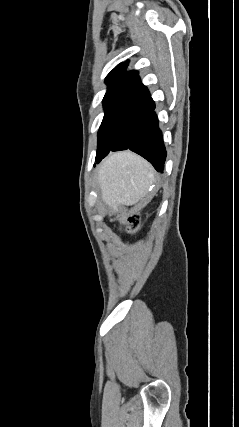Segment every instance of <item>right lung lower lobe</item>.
Instances as JSON below:
<instances>
[{
  "label": "right lung lower lobe",
  "instance_id": "1",
  "mask_svg": "<svg viewBox=\"0 0 239 427\" xmlns=\"http://www.w3.org/2000/svg\"><path fill=\"white\" fill-rule=\"evenodd\" d=\"M148 101L151 104L149 113L132 133L129 145L122 150L130 149L141 155L148 160L158 172H162L166 159V150L162 139V132L158 127V119L154 112L155 104L152 99ZM100 161H97V163Z\"/></svg>",
  "mask_w": 239,
  "mask_h": 427
}]
</instances>
